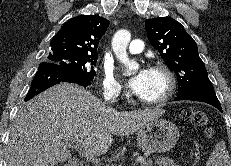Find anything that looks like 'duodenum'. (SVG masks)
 Wrapping results in <instances>:
<instances>
[{
	"mask_svg": "<svg viewBox=\"0 0 231 166\" xmlns=\"http://www.w3.org/2000/svg\"><path fill=\"white\" fill-rule=\"evenodd\" d=\"M70 166H82L80 163H75V164H72Z\"/></svg>",
	"mask_w": 231,
	"mask_h": 166,
	"instance_id": "duodenum-1",
	"label": "duodenum"
}]
</instances>
